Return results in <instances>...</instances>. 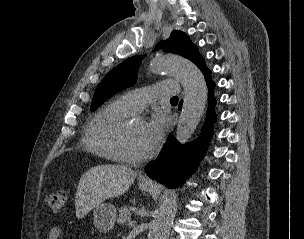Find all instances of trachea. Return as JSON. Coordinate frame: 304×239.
Here are the masks:
<instances>
[{"instance_id": "3493384b", "label": "trachea", "mask_w": 304, "mask_h": 239, "mask_svg": "<svg viewBox=\"0 0 304 239\" xmlns=\"http://www.w3.org/2000/svg\"><path fill=\"white\" fill-rule=\"evenodd\" d=\"M170 101H173V102H178V97H177V96L172 97V98L170 99Z\"/></svg>"}]
</instances>
